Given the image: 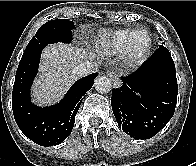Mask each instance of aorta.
<instances>
[{"mask_svg":"<svg viewBox=\"0 0 196 166\" xmlns=\"http://www.w3.org/2000/svg\"><path fill=\"white\" fill-rule=\"evenodd\" d=\"M94 87L99 93H108L112 89L111 80L106 76H99L94 81Z\"/></svg>","mask_w":196,"mask_h":166,"instance_id":"762f6f07","label":"aorta"}]
</instances>
